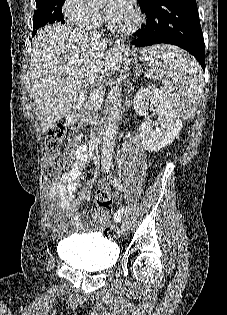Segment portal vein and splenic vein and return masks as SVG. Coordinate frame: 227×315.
<instances>
[{"label": "portal vein and splenic vein", "mask_w": 227, "mask_h": 315, "mask_svg": "<svg viewBox=\"0 0 227 315\" xmlns=\"http://www.w3.org/2000/svg\"><path fill=\"white\" fill-rule=\"evenodd\" d=\"M67 72H70L69 68H67ZM94 79V77L90 78L91 83L94 82ZM92 94L95 98H101L103 96V92L100 89H95Z\"/></svg>", "instance_id": "portal-vein-and-splenic-vein-1"}]
</instances>
